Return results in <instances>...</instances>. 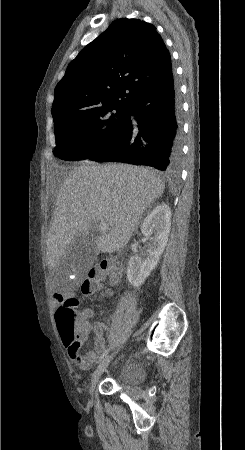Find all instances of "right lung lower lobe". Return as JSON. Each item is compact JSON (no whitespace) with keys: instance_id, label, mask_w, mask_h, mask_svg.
<instances>
[{"instance_id":"1","label":"right lung lower lobe","mask_w":245,"mask_h":450,"mask_svg":"<svg viewBox=\"0 0 245 450\" xmlns=\"http://www.w3.org/2000/svg\"><path fill=\"white\" fill-rule=\"evenodd\" d=\"M180 118L179 91L170 69L130 103L118 139L88 159L147 165L177 175L182 161Z\"/></svg>"}]
</instances>
